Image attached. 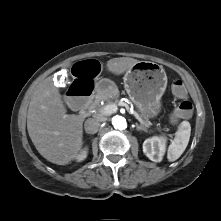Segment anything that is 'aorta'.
<instances>
[{"label":"aorta","mask_w":221,"mask_h":221,"mask_svg":"<svg viewBox=\"0 0 221 221\" xmlns=\"http://www.w3.org/2000/svg\"><path fill=\"white\" fill-rule=\"evenodd\" d=\"M112 125L115 129L123 130L127 127L126 119L122 116H114L112 118Z\"/></svg>","instance_id":"obj_1"}]
</instances>
